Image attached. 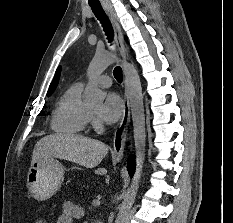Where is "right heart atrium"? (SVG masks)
Returning <instances> with one entry per match:
<instances>
[{"label":"right heart atrium","mask_w":233,"mask_h":223,"mask_svg":"<svg viewBox=\"0 0 233 223\" xmlns=\"http://www.w3.org/2000/svg\"><path fill=\"white\" fill-rule=\"evenodd\" d=\"M89 122L91 126L97 131L101 130L103 127L102 122L95 115L90 116Z\"/></svg>","instance_id":"right-heart-atrium-1"}]
</instances>
